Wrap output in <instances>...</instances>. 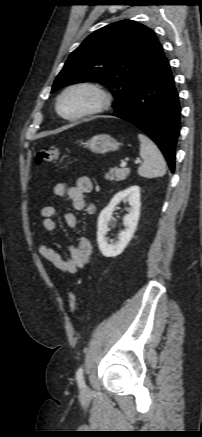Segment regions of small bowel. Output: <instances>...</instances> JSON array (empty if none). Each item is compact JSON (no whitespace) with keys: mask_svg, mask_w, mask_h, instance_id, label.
Instances as JSON below:
<instances>
[{"mask_svg":"<svg viewBox=\"0 0 202 437\" xmlns=\"http://www.w3.org/2000/svg\"><path fill=\"white\" fill-rule=\"evenodd\" d=\"M92 189V180L89 177L83 176L79 177L73 185L65 182L55 184L52 192L55 196H67L74 210L85 211L86 214L91 215L95 208L88 201L87 194H89ZM40 214L43 218V228L48 232H54L57 228L55 222L56 209L52 206H45L41 209ZM65 221L67 226L71 229H74L77 225V218L72 212L66 213ZM37 251L58 270L73 274L91 260L93 246L91 241L83 236L78 239L77 243L69 245V255L65 257L43 243L38 244Z\"/></svg>","mask_w":202,"mask_h":437,"instance_id":"obj_1","label":"small bowel"}]
</instances>
